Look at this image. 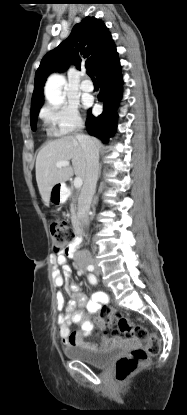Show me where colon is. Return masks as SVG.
<instances>
[{"label":"colon","mask_w":187,"mask_h":415,"mask_svg":"<svg viewBox=\"0 0 187 415\" xmlns=\"http://www.w3.org/2000/svg\"><path fill=\"white\" fill-rule=\"evenodd\" d=\"M53 250L56 253H69L74 245L76 235L73 228L63 220H54L50 224ZM98 326L106 333L120 334L141 342V346L133 348L128 355L118 359L115 365L116 378L126 380L141 366L145 365L150 356L160 352L159 339L150 334L143 325L135 324L117 310L103 305L96 311Z\"/></svg>","instance_id":"1"}]
</instances>
